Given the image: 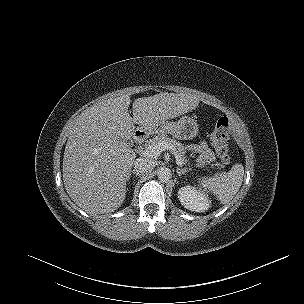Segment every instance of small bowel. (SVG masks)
<instances>
[{
  "instance_id": "c3829d8e",
  "label": "small bowel",
  "mask_w": 304,
  "mask_h": 304,
  "mask_svg": "<svg viewBox=\"0 0 304 304\" xmlns=\"http://www.w3.org/2000/svg\"><path fill=\"white\" fill-rule=\"evenodd\" d=\"M197 153V162L201 165L208 164L213 160V154L205 143L193 147Z\"/></svg>"
}]
</instances>
